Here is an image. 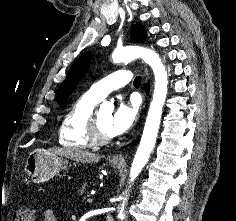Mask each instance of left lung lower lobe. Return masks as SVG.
I'll use <instances>...</instances> for the list:
<instances>
[{
    "label": "left lung lower lobe",
    "instance_id": "0a47b994",
    "mask_svg": "<svg viewBox=\"0 0 236 221\" xmlns=\"http://www.w3.org/2000/svg\"><path fill=\"white\" fill-rule=\"evenodd\" d=\"M146 91H147V93L149 92V85L148 84L146 86Z\"/></svg>",
    "mask_w": 236,
    "mask_h": 221
}]
</instances>
